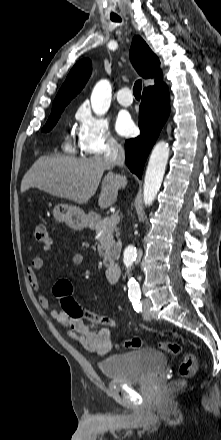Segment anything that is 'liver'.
I'll list each match as a JSON object with an SVG mask.
<instances>
[{
  "instance_id": "6515ba94",
  "label": "liver",
  "mask_w": 221,
  "mask_h": 440,
  "mask_svg": "<svg viewBox=\"0 0 221 440\" xmlns=\"http://www.w3.org/2000/svg\"><path fill=\"white\" fill-rule=\"evenodd\" d=\"M113 165L103 157L87 159L72 157H40L27 171L21 182V192L37 188L53 196L84 204L96 193L100 183L99 206H112L118 191L127 183L112 172ZM108 173L103 177L104 172ZM102 181V182H101Z\"/></svg>"
}]
</instances>
